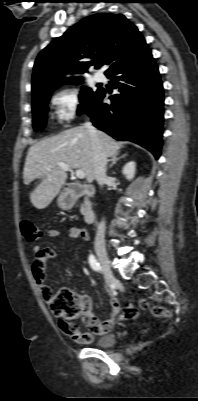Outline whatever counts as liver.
Here are the masks:
<instances>
[{
    "label": "liver",
    "mask_w": 198,
    "mask_h": 401,
    "mask_svg": "<svg viewBox=\"0 0 198 401\" xmlns=\"http://www.w3.org/2000/svg\"><path fill=\"white\" fill-rule=\"evenodd\" d=\"M96 131L106 157L117 156L122 144L108 134ZM57 162H64L72 169L84 171L87 182H93L95 174L92 139L85 126L65 130L29 148L23 178L25 184L42 179L30 193L31 203L38 209L46 208L65 185L67 173Z\"/></svg>",
    "instance_id": "obj_1"
}]
</instances>
